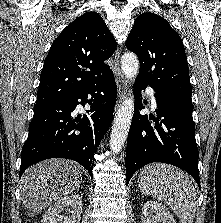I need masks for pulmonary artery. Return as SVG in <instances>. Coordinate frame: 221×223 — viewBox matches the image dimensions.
<instances>
[{
	"label": "pulmonary artery",
	"instance_id": "pulmonary-artery-1",
	"mask_svg": "<svg viewBox=\"0 0 221 223\" xmlns=\"http://www.w3.org/2000/svg\"><path fill=\"white\" fill-rule=\"evenodd\" d=\"M146 93H147V95H148L149 98H150L152 107H153V108H156V106H157V101H156V97H155L154 90H153L152 88H148V89L146 90Z\"/></svg>",
	"mask_w": 221,
	"mask_h": 223
}]
</instances>
